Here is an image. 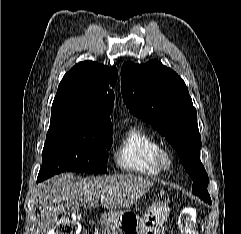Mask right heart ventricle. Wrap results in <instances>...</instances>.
<instances>
[{
  "instance_id": "e07e8e85",
  "label": "right heart ventricle",
  "mask_w": 241,
  "mask_h": 234,
  "mask_svg": "<svg viewBox=\"0 0 241 234\" xmlns=\"http://www.w3.org/2000/svg\"><path fill=\"white\" fill-rule=\"evenodd\" d=\"M161 148L156 136L142 126L129 127L117 144L114 160L125 172L157 176L162 169L157 160Z\"/></svg>"
}]
</instances>
